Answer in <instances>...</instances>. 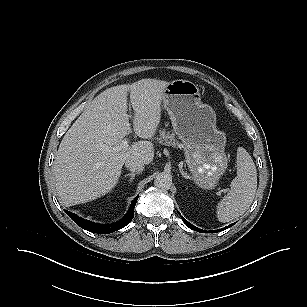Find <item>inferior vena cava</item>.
<instances>
[{"label": "inferior vena cava", "instance_id": "602c4592", "mask_svg": "<svg viewBox=\"0 0 307 307\" xmlns=\"http://www.w3.org/2000/svg\"><path fill=\"white\" fill-rule=\"evenodd\" d=\"M125 166L131 171H136L138 173L142 172L144 169V163L135 158H130L125 161Z\"/></svg>", "mask_w": 307, "mask_h": 307}]
</instances>
